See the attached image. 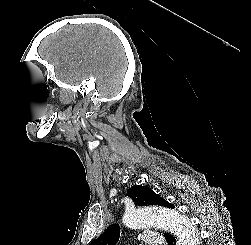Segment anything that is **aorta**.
Returning <instances> with one entry per match:
<instances>
[{
	"label": "aorta",
	"instance_id": "1",
	"mask_svg": "<svg viewBox=\"0 0 251 245\" xmlns=\"http://www.w3.org/2000/svg\"><path fill=\"white\" fill-rule=\"evenodd\" d=\"M123 224L132 229L162 227L176 235V245H199V234L193 223L176 211L159 207H136L125 212Z\"/></svg>",
	"mask_w": 251,
	"mask_h": 245
}]
</instances>
